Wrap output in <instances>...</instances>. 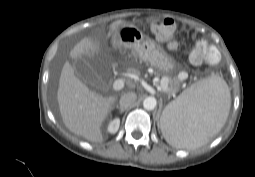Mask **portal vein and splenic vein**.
I'll list each match as a JSON object with an SVG mask.
<instances>
[{
  "instance_id": "18ae733b",
  "label": "portal vein and splenic vein",
  "mask_w": 255,
  "mask_h": 177,
  "mask_svg": "<svg viewBox=\"0 0 255 177\" xmlns=\"http://www.w3.org/2000/svg\"><path fill=\"white\" fill-rule=\"evenodd\" d=\"M124 87V81L122 79H117L113 83V89L118 91L121 90ZM162 89L164 91H169L167 86L165 84H162Z\"/></svg>"
}]
</instances>
